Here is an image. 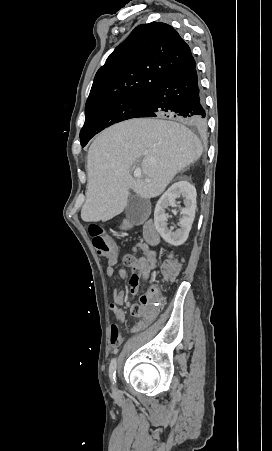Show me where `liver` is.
I'll use <instances>...</instances> for the list:
<instances>
[{
	"mask_svg": "<svg viewBox=\"0 0 272 451\" xmlns=\"http://www.w3.org/2000/svg\"><path fill=\"white\" fill-rule=\"evenodd\" d=\"M169 120L134 118L98 134L88 152L84 222H107L121 214L129 190L146 200L160 196L178 172L200 158L203 148L197 136ZM138 160L140 180L131 174Z\"/></svg>",
	"mask_w": 272,
	"mask_h": 451,
	"instance_id": "obj_1",
	"label": "liver"
}]
</instances>
